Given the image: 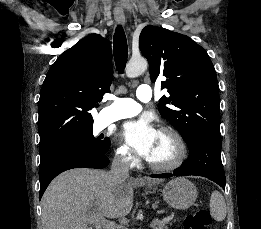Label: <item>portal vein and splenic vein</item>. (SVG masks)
Listing matches in <instances>:
<instances>
[{"instance_id": "1", "label": "portal vein and splenic vein", "mask_w": 261, "mask_h": 229, "mask_svg": "<svg viewBox=\"0 0 261 229\" xmlns=\"http://www.w3.org/2000/svg\"><path fill=\"white\" fill-rule=\"evenodd\" d=\"M151 227L149 229H152L154 225L157 224V221L155 219H152L150 221ZM98 227H95V229H123V227H120V225H115L113 221H107V219H101L99 223H97Z\"/></svg>"}]
</instances>
